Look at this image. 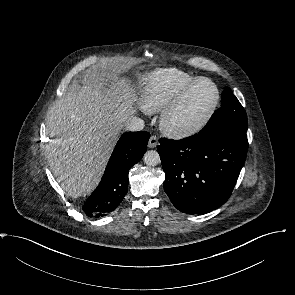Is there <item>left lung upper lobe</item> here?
Segmentation results:
<instances>
[{
    "label": "left lung upper lobe",
    "mask_w": 295,
    "mask_h": 295,
    "mask_svg": "<svg viewBox=\"0 0 295 295\" xmlns=\"http://www.w3.org/2000/svg\"><path fill=\"white\" fill-rule=\"evenodd\" d=\"M248 127L247 115L230 88L226 87L222 93V106L214 112L202 131L226 129L246 135Z\"/></svg>",
    "instance_id": "left-lung-upper-lobe-1"
}]
</instances>
